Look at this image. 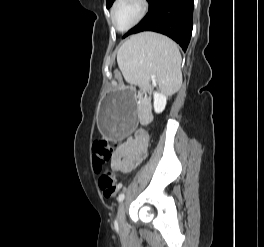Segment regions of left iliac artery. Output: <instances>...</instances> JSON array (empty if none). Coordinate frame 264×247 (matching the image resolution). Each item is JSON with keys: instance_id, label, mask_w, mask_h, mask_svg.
<instances>
[{"instance_id": "1", "label": "left iliac artery", "mask_w": 264, "mask_h": 247, "mask_svg": "<svg viewBox=\"0 0 264 247\" xmlns=\"http://www.w3.org/2000/svg\"><path fill=\"white\" fill-rule=\"evenodd\" d=\"M124 197H125L124 193H120L117 198L118 202H122L124 200Z\"/></svg>"}]
</instances>
